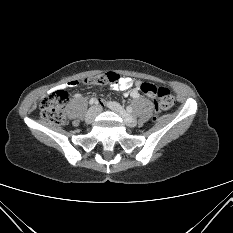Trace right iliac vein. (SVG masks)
I'll use <instances>...</instances> for the list:
<instances>
[{"label": "right iliac vein", "instance_id": "right-iliac-vein-1", "mask_svg": "<svg viewBox=\"0 0 233 233\" xmlns=\"http://www.w3.org/2000/svg\"><path fill=\"white\" fill-rule=\"evenodd\" d=\"M100 112V107L98 105L92 106L86 116H85V121L86 123H92L95 117L99 114Z\"/></svg>", "mask_w": 233, "mask_h": 233}]
</instances>
